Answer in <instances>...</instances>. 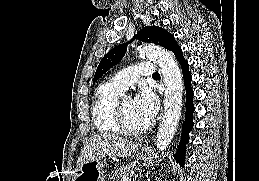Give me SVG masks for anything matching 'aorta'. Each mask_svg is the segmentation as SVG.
Returning <instances> with one entry per match:
<instances>
[{"mask_svg": "<svg viewBox=\"0 0 259 181\" xmlns=\"http://www.w3.org/2000/svg\"><path fill=\"white\" fill-rule=\"evenodd\" d=\"M141 57H147L158 64L166 85L164 96V116L156 137V147L164 151L170 144L177 129L182 106V74L170 52L155 45L138 47Z\"/></svg>", "mask_w": 259, "mask_h": 181, "instance_id": "aorta-1", "label": "aorta"}]
</instances>
